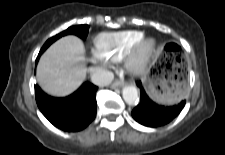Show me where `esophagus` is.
Instances as JSON below:
<instances>
[{"label": "esophagus", "instance_id": "1", "mask_svg": "<svg viewBox=\"0 0 225 155\" xmlns=\"http://www.w3.org/2000/svg\"><path fill=\"white\" fill-rule=\"evenodd\" d=\"M123 84H124L123 81H121V80H116V81H114V83L112 84V88L122 87Z\"/></svg>", "mask_w": 225, "mask_h": 155}]
</instances>
